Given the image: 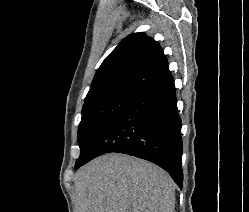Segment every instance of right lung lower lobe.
Listing matches in <instances>:
<instances>
[{
    "label": "right lung lower lobe",
    "instance_id": "1",
    "mask_svg": "<svg viewBox=\"0 0 249 212\" xmlns=\"http://www.w3.org/2000/svg\"><path fill=\"white\" fill-rule=\"evenodd\" d=\"M110 152L153 162L166 170L182 188L181 119L173 77L143 92L122 110L80 166Z\"/></svg>",
    "mask_w": 249,
    "mask_h": 212
}]
</instances>
